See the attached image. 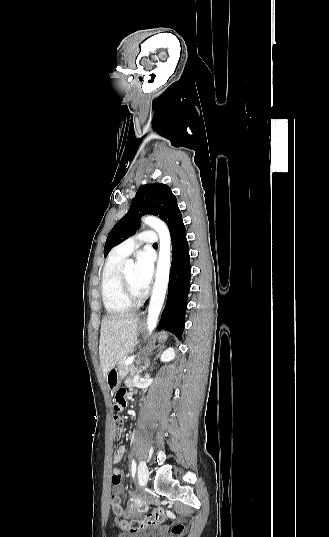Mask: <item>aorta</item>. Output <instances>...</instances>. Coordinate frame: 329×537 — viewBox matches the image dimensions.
I'll return each mask as SVG.
<instances>
[{
    "label": "aorta",
    "mask_w": 329,
    "mask_h": 537,
    "mask_svg": "<svg viewBox=\"0 0 329 537\" xmlns=\"http://www.w3.org/2000/svg\"><path fill=\"white\" fill-rule=\"evenodd\" d=\"M143 222L151 226L159 235V257L156 269V278L153 287L152 296L150 299L147 325L148 331L151 333L158 322V318L164 303L167 292L170 265H171V238L167 225L160 219L154 216H146ZM134 266V261L129 259L125 263L126 269H131Z\"/></svg>",
    "instance_id": "1"
}]
</instances>
